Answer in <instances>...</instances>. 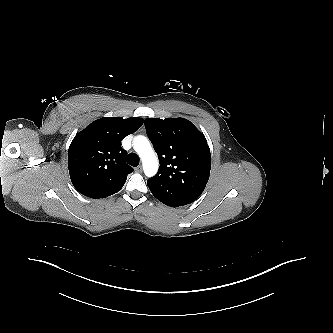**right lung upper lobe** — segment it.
I'll use <instances>...</instances> for the list:
<instances>
[{"instance_id":"1","label":"right lung upper lobe","mask_w":333,"mask_h":333,"mask_svg":"<svg viewBox=\"0 0 333 333\" xmlns=\"http://www.w3.org/2000/svg\"><path fill=\"white\" fill-rule=\"evenodd\" d=\"M139 117L95 120L72 140L68 150L71 181L81 194L104 198L117 193L133 169L126 164L121 141L143 124Z\"/></svg>"}]
</instances>
